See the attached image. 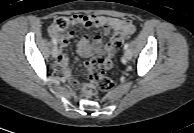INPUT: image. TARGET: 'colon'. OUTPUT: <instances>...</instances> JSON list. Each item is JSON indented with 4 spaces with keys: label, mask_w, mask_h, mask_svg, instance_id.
<instances>
[{
    "label": "colon",
    "mask_w": 194,
    "mask_h": 133,
    "mask_svg": "<svg viewBox=\"0 0 194 133\" xmlns=\"http://www.w3.org/2000/svg\"><path fill=\"white\" fill-rule=\"evenodd\" d=\"M69 24L68 18L60 17L54 21L53 27L60 33L66 30ZM128 37V34L122 32L115 33L111 43L114 47H120ZM102 66H104V60L99 56L93 57L86 63V76L89 82L83 85L82 94L84 97H92L96 92V88L102 91H108L113 88L114 82L104 74Z\"/></svg>",
    "instance_id": "obj_1"
}]
</instances>
